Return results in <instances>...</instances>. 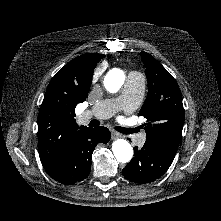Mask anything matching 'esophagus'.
<instances>
[{
    "mask_svg": "<svg viewBox=\"0 0 221 221\" xmlns=\"http://www.w3.org/2000/svg\"><path fill=\"white\" fill-rule=\"evenodd\" d=\"M122 137V134L116 132V131H113L112 132V138L113 139H116V138H121Z\"/></svg>",
    "mask_w": 221,
    "mask_h": 221,
    "instance_id": "1",
    "label": "esophagus"
}]
</instances>
